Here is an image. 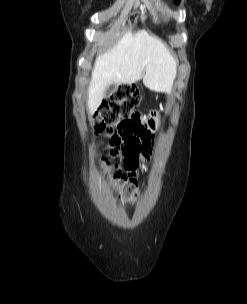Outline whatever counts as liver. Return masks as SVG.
<instances>
[{
	"label": "liver",
	"mask_w": 247,
	"mask_h": 304,
	"mask_svg": "<svg viewBox=\"0 0 247 304\" xmlns=\"http://www.w3.org/2000/svg\"><path fill=\"white\" fill-rule=\"evenodd\" d=\"M176 65V59L158 38L145 30L125 33L117 44L96 58L88 87L89 114L98 109L111 84L130 85L143 78L148 89L170 93Z\"/></svg>",
	"instance_id": "obj_1"
}]
</instances>
